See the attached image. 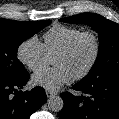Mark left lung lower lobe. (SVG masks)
<instances>
[{"instance_id":"obj_1","label":"left lung lower lobe","mask_w":119,"mask_h":119,"mask_svg":"<svg viewBox=\"0 0 119 119\" xmlns=\"http://www.w3.org/2000/svg\"><path fill=\"white\" fill-rule=\"evenodd\" d=\"M84 95L60 94L59 119H119V77L80 81L72 87Z\"/></svg>"}]
</instances>
